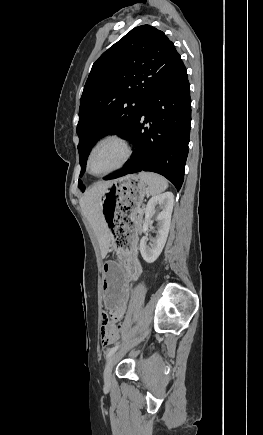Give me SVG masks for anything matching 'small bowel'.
<instances>
[{"mask_svg":"<svg viewBox=\"0 0 263 435\" xmlns=\"http://www.w3.org/2000/svg\"><path fill=\"white\" fill-rule=\"evenodd\" d=\"M130 261L133 263L132 269H139L141 272V265L139 262L138 252L135 249L130 250ZM112 312V320L105 321L103 323V328L108 332V334L104 337L105 341H102L100 347L102 350H111L114 348V341L118 340L120 337V329H117V323L122 319L126 312V305H119L118 310H111Z\"/></svg>","mask_w":263,"mask_h":435,"instance_id":"small-bowel-1","label":"small bowel"}]
</instances>
